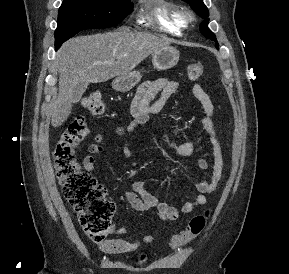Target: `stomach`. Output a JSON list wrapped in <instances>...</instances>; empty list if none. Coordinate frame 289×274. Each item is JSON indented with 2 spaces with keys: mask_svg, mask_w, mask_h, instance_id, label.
<instances>
[{
  "mask_svg": "<svg viewBox=\"0 0 289 274\" xmlns=\"http://www.w3.org/2000/svg\"><path fill=\"white\" fill-rule=\"evenodd\" d=\"M179 61V51L167 46L152 54V63L158 70H167L174 67ZM141 79L139 71H132L118 76L112 82V87L119 92L130 91Z\"/></svg>",
  "mask_w": 289,
  "mask_h": 274,
  "instance_id": "1",
  "label": "stomach"
}]
</instances>
